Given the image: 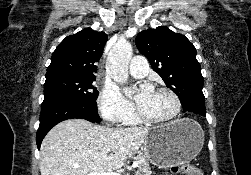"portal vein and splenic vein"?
Segmentation results:
<instances>
[{"mask_svg": "<svg viewBox=\"0 0 251 175\" xmlns=\"http://www.w3.org/2000/svg\"><path fill=\"white\" fill-rule=\"evenodd\" d=\"M138 161H134L132 163V167H137ZM87 175H121V173H117V171H113V169H108V171H101V173H98V171H92V173H87Z\"/></svg>", "mask_w": 251, "mask_h": 175, "instance_id": "18ae733b", "label": "portal vein and splenic vein"}]
</instances>
